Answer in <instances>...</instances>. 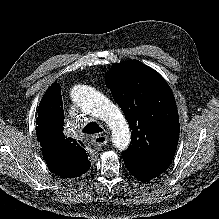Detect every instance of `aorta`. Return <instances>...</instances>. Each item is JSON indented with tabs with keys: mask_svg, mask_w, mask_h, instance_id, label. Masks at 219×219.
Returning a JSON list of instances; mask_svg holds the SVG:
<instances>
[{
	"mask_svg": "<svg viewBox=\"0 0 219 219\" xmlns=\"http://www.w3.org/2000/svg\"><path fill=\"white\" fill-rule=\"evenodd\" d=\"M72 100L84 111L105 122L111 130L116 148L125 150L131 140L128 123L120 109L102 93L88 85H76Z\"/></svg>",
	"mask_w": 219,
	"mask_h": 219,
	"instance_id": "aorta-1",
	"label": "aorta"
}]
</instances>
